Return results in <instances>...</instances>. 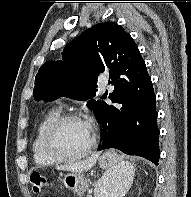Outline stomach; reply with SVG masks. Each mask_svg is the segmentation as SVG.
Listing matches in <instances>:
<instances>
[{
	"label": "stomach",
	"instance_id": "0dacf381",
	"mask_svg": "<svg viewBox=\"0 0 191 197\" xmlns=\"http://www.w3.org/2000/svg\"><path fill=\"white\" fill-rule=\"evenodd\" d=\"M122 162L121 156L115 152L108 151L104 153L98 160L99 166L107 170L108 174L114 170L115 166ZM63 184L74 193L81 197L89 186V182L82 173L70 172L64 175L62 179ZM112 181L109 180L108 193H111Z\"/></svg>",
	"mask_w": 191,
	"mask_h": 197
}]
</instances>
